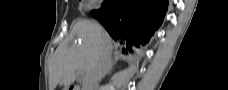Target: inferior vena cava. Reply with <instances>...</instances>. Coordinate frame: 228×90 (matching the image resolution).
Here are the masks:
<instances>
[{
    "label": "inferior vena cava",
    "mask_w": 228,
    "mask_h": 90,
    "mask_svg": "<svg viewBox=\"0 0 228 90\" xmlns=\"http://www.w3.org/2000/svg\"><path fill=\"white\" fill-rule=\"evenodd\" d=\"M110 64V56L107 52H103L85 77L83 90H96L99 81L107 74Z\"/></svg>",
    "instance_id": "602c4592"
}]
</instances>
